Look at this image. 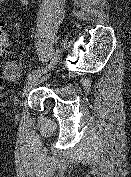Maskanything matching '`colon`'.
Instances as JSON below:
<instances>
[{
    "label": "colon",
    "mask_w": 131,
    "mask_h": 177,
    "mask_svg": "<svg viewBox=\"0 0 131 177\" xmlns=\"http://www.w3.org/2000/svg\"><path fill=\"white\" fill-rule=\"evenodd\" d=\"M11 45V37L6 22H0V55L5 56Z\"/></svg>",
    "instance_id": "obj_1"
}]
</instances>
